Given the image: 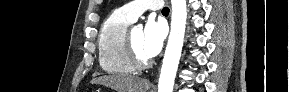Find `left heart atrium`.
<instances>
[{
    "label": "left heart atrium",
    "mask_w": 289,
    "mask_h": 92,
    "mask_svg": "<svg viewBox=\"0 0 289 92\" xmlns=\"http://www.w3.org/2000/svg\"><path fill=\"white\" fill-rule=\"evenodd\" d=\"M166 36V27L160 20L148 19L143 30V47L150 57L156 56L162 49Z\"/></svg>",
    "instance_id": "1"
}]
</instances>
